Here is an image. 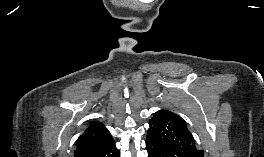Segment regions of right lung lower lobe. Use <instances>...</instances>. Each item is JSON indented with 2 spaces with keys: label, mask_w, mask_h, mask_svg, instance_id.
Wrapping results in <instances>:
<instances>
[{
  "label": "right lung lower lobe",
  "mask_w": 264,
  "mask_h": 157,
  "mask_svg": "<svg viewBox=\"0 0 264 157\" xmlns=\"http://www.w3.org/2000/svg\"><path fill=\"white\" fill-rule=\"evenodd\" d=\"M76 157H120V151L116 149L114 140L111 139L95 148L82 152Z\"/></svg>",
  "instance_id": "1"
}]
</instances>
